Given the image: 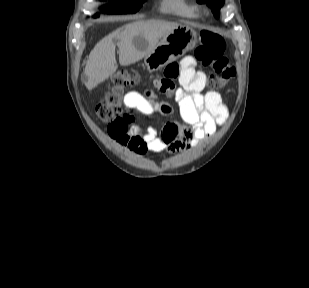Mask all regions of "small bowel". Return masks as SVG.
I'll return each mask as SVG.
<instances>
[{"label": "small bowel", "mask_w": 309, "mask_h": 288, "mask_svg": "<svg viewBox=\"0 0 309 288\" xmlns=\"http://www.w3.org/2000/svg\"><path fill=\"white\" fill-rule=\"evenodd\" d=\"M174 77H177L180 83V87L176 89H173ZM161 82L170 85L185 125L169 122L161 131H157L155 128L141 130L133 123L125 125L117 121L111 123L108 128L111 138L138 155L195 148L203 140L211 137L217 127L225 123L228 116V109L218 92L202 93L206 76L196 69L193 57L186 56L180 63L169 66L165 71V78L158 80L157 84ZM124 104L145 115L168 116L173 112L169 103L159 102L150 90L143 93L128 92L124 97Z\"/></svg>", "instance_id": "obj_1"}]
</instances>
